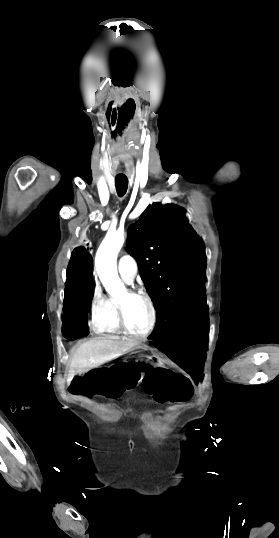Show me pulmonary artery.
Returning <instances> with one entry per match:
<instances>
[{
    "instance_id": "1",
    "label": "pulmonary artery",
    "mask_w": 279,
    "mask_h": 538,
    "mask_svg": "<svg viewBox=\"0 0 279 538\" xmlns=\"http://www.w3.org/2000/svg\"><path fill=\"white\" fill-rule=\"evenodd\" d=\"M117 269H118L119 274L128 283L132 282V280L134 279L137 273V265L134 262V260L128 255L121 256L118 259Z\"/></svg>"
}]
</instances>
